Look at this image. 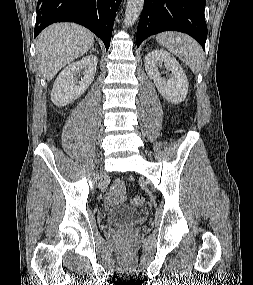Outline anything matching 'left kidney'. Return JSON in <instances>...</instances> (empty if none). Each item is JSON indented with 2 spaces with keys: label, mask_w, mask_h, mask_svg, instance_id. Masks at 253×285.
I'll return each mask as SVG.
<instances>
[{
  "label": "left kidney",
  "mask_w": 253,
  "mask_h": 285,
  "mask_svg": "<svg viewBox=\"0 0 253 285\" xmlns=\"http://www.w3.org/2000/svg\"><path fill=\"white\" fill-rule=\"evenodd\" d=\"M144 62L147 75L153 79L163 98L172 104H178L185 100L189 84L182 67L175 57L165 50L158 49L148 53ZM162 64L171 71L169 79L161 77L158 71V67Z\"/></svg>",
  "instance_id": "left-kidney-1"
}]
</instances>
